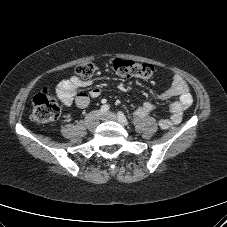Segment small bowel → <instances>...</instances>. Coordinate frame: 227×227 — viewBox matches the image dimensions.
I'll list each match as a JSON object with an SVG mask.
<instances>
[{
	"label": "small bowel",
	"instance_id": "c3829d8e",
	"mask_svg": "<svg viewBox=\"0 0 227 227\" xmlns=\"http://www.w3.org/2000/svg\"><path fill=\"white\" fill-rule=\"evenodd\" d=\"M92 84L90 80H83L73 76L69 79L61 81L56 92L61 102L66 106L75 104L79 108H86L90 103V98H98L102 94V90L95 87L90 92H79L80 89L87 88ZM171 97H177L176 101L169 104L170 117L160 122V126L164 129L176 125L181 122L183 113L187 110L193 98L186 81L179 75H174L170 87L160 95L161 100ZM154 107V102L147 100L142 105L136 107V113L139 115L147 114Z\"/></svg>",
	"mask_w": 227,
	"mask_h": 227
}]
</instances>
